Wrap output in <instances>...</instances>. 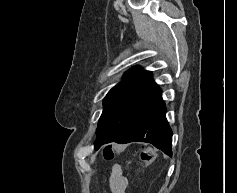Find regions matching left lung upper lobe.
Here are the masks:
<instances>
[{
    "instance_id": "1",
    "label": "left lung upper lobe",
    "mask_w": 237,
    "mask_h": 193,
    "mask_svg": "<svg viewBox=\"0 0 237 193\" xmlns=\"http://www.w3.org/2000/svg\"><path fill=\"white\" fill-rule=\"evenodd\" d=\"M155 82L150 71L130 69L125 78L113 87L104 99V110L98 122L95 146L115 142L142 97Z\"/></svg>"
}]
</instances>
